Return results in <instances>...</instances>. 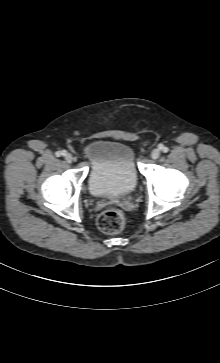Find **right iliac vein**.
I'll return each instance as SVG.
<instances>
[{"instance_id":"1","label":"right iliac vein","mask_w":220,"mask_h":363,"mask_svg":"<svg viewBox=\"0 0 220 363\" xmlns=\"http://www.w3.org/2000/svg\"><path fill=\"white\" fill-rule=\"evenodd\" d=\"M64 159H65V161H66L67 163H71V162H72V160H73V156H72L70 153H66V154L64 155Z\"/></svg>"}]
</instances>
